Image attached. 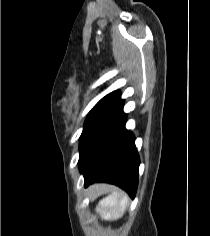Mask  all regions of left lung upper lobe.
<instances>
[{"mask_svg":"<svg viewBox=\"0 0 210 236\" xmlns=\"http://www.w3.org/2000/svg\"><path fill=\"white\" fill-rule=\"evenodd\" d=\"M119 96V91H114L102 98L89 112L84 126H87L98 115H100L103 111L110 107L118 99Z\"/></svg>","mask_w":210,"mask_h":236,"instance_id":"obj_1","label":"left lung upper lobe"}]
</instances>
